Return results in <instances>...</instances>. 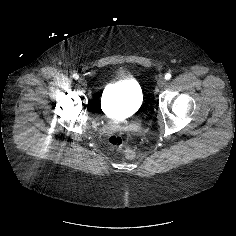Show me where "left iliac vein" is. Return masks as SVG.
<instances>
[{
    "label": "left iliac vein",
    "mask_w": 236,
    "mask_h": 236,
    "mask_svg": "<svg viewBox=\"0 0 236 236\" xmlns=\"http://www.w3.org/2000/svg\"><path fill=\"white\" fill-rule=\"evenodd\" d=\"M166 85V80L164 78H160L158 81H157V86L159 88H163L164 86Z\"/></svg>",
    "instance_id": "1"
}]
</instances>
